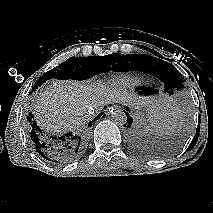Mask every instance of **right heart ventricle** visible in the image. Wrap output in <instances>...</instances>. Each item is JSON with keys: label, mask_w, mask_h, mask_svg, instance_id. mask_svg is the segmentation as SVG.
Instances as JSON below:
<instances>
[{"label": "right heart ventricle", "mask_w": 213, "mask_h": 213, "mask_svg": "<svg viewBox=\"0 0 213 213\" xmlns=\"http://www.w3.org/2000/svg\"><path fill=\"white\" fill-rule=\"evenodd\" d=\"M116 81L120 86H137L144 82V78L140 76L136 77L122 76L118 77Z\"/></svg>", "instance_id": "right-heart-ventricle-1"}]
</instances>
